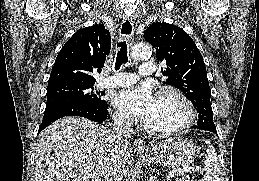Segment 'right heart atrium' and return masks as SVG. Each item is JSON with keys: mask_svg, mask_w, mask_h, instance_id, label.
I'll use <instances>...</instances> for the list:
<instances>
[{"mask_svg": "<svg viewBox=\"0 0 259 181\" xmlns=\"http://www.w3.org/2000/svg\"><path fill=\"white\" fill-rule=\"evenodd\" d=\"M114 119L118 124L123 125V126L128 125L130 122L129 117L121 112H116L114 114Z\"/></svg>", "mask_w": 259, "mask_h": 181, "instance_id": "right-heart-atrium-1", "label": "right heart atrium"}]
</instances>
